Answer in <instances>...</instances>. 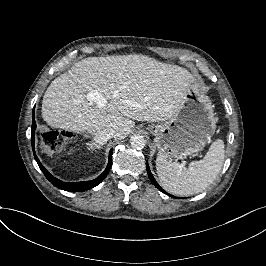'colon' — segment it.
<instances>
[{"instance_id": "5ec220e1", "label": "colon", "mask_w": 266, "mask_h": 266, "mask_svg": "<svg viewBox=\"0 0 266 266\" xmlns=\"http://www.w3.org/2000/svg\"><path fill=\"white\" fill-rule=\"evenodd\" d=\"M40 143L42 148L48 153H57L63 146L60 132L54 130L43 131Z\"/></svg>"}]
</instances>
